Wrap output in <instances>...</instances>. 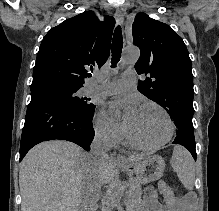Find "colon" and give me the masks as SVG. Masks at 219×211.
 <instances>
[{"label":"colon","instance_id":"1","mask_svg":"<svg viewBox=\"0 0 219 211\" xmlns=\"http://www.w3.org/2000/svg\"><path fill=\"white\" fill-rule=\"evenodd\" d=\"M160 189H161V192L163 193L164 202L168 206H173L176 202V197H175L172 187L168 183L163 181L160 183Z\"/></svg>","mask_w":219,"mask_h":211}]
</instances>
